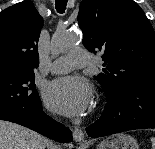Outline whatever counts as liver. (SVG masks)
<instances>
[{"label": "liver", "mask_w": 155, "mask_h": 149, "mask_svg": "<svg viewBox=\"0 0 155 149\" xmlns=\"http://www.w3.org/2000/svg\"><path fill=\"white\" fill-rule=\"evenodd\" d=\"M47 141L34 131L0 120V149H45Z\"/></svg>", "instance_id": "liver-1"}]
</instances>
